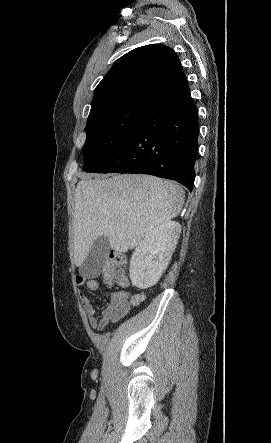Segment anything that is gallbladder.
<instances>
[{"label":"gallbladder","instance_id":"gallbladder-1","mask_svg":"<svg viewBox=\"0 0 271 443\" xmlns=\"http://www.w3.org/2000/svg\"><path fill=\"white\" fill-rule=\"evenodd\" d=\"M111 249L108 237H97L85 260L79 265V271L83 278H96L97 273H103L106 269V260L110 259Z\"/></svg>","mask_w":271,"mask_h":443}]
</instances>
